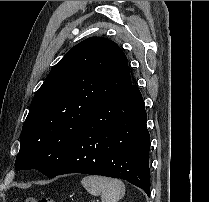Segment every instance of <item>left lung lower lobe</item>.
Segmentation results:
<instances>
[{
  "mask_svg": "<svg viewBox=\"0 0 209 202\" xmlns=\"http://www.w3.org/2000/svg\"><path fill=\"white\" fill-rule=\"evenodd\" d=\"M142 95L135 85L93 112L84 122L59 170L127 180L150 196V135Z\"/></svg>",
  "mask_w": 209,
  "mask_h": 202,
  "instance_id": "left-lung-lower-lobe-1",
  "label": "left lung lower lobe"
}]
</instances>
